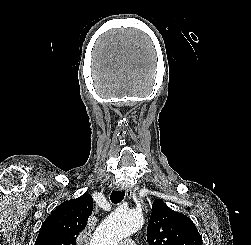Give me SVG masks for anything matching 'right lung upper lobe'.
Wrapping results in <instances>:
<instances>
[{
  "label": "right lung upper lobe",
  "mask_w": 251,
  "mask_h": 245,
  "mask_svg": "<svg viewBox=\"0 0 251 245\" xmlns=\"http://www.w3.org/2000/svg\"><path fill=\"white\" fill-rule=\"evenodd\" d=\"M92 209L89 194L61 203L43 222L35 245H76Z\"/></svg>",
  "instance_id": "obj_1"
}]
</instances>
